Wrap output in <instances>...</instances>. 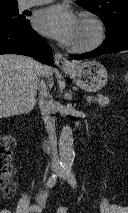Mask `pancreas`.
Instances as JSON below:
<instances>
[{
    "mask_svg": "<svg viewBox=\"0 0 128 213\" xmlns=\"http://www.w3.org/2000/svg\"><path fill=\"white\" fill-rule=\"evenodd\" d=\"M90 101H97L98 104L100 105V107H105L109 104L110 99L108 97L98 95L97 97H95L93 99L91 98Z\"/></svg>",
    "mask_w": 128,
    "mask_h": 213,
    "instance_id": "obj_1",
    "label": "pancreas"
}]
</instances>
